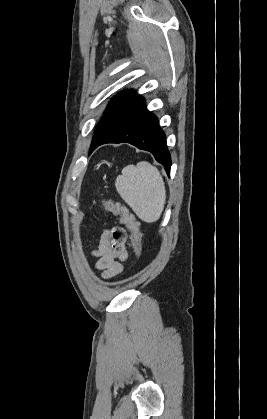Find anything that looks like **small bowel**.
Returning <instances> with one entry per match:
<instances>
[{"mask_svg": "<svg viewBox=\"0 0 267 419\" xmlns=\"http://www.w3.org/2000/svg\"><path fill=\"white\" fill-rule=\"evenodd\" d=\"M92 255L96 257L95 268L102 272L104 279L120 274L127 259L126 233L122 228L105 231Z\"/></svg>", "mask_w": 267, "mask_h": 419, "instance_id": "c3829d8e", "label": "small bowel"}]
</instances>
